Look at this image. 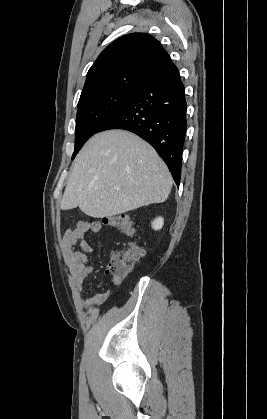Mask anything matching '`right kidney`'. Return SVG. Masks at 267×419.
<instances>
[{
    "label": "right kidney",
    "instance_id": "ca27d5eb",
    "mask_svg": "<svg viewBox=\"0 0 267 419\" xmlns=\"http://www.w3.org/2000/svg\"><path fill=\"white\" fill-rule=\"evenodd\" d=\"M164 219L162 217H157L152 222V228L154 230H160L163 227Z\"/></svg>",
    "mask_w": 267,
    "mask_h": 419
}]
</instances>
